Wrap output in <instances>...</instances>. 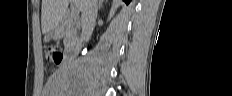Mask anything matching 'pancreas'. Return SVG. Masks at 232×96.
I'll list each match as a JSON object with an SVG mask.
<instances>
[{"label":"pancreas","instance_id":"1","mask_svg":"<svg viewBox=\"0 0 232 96\" xmlns=\"http://www.w3.org/2000/svg\"><path fill=\"white\" fill-rule=\"evenodd\" d=\"M70 24L67 25L64 32V45L68 48H74L77 45V37L73 31L70 30Z\"/></svg>","mask_w":232,"mask_h":96}]
</instances>
